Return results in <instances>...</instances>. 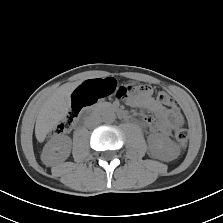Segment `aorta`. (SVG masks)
<instances>
[{
  "instance_id": "aorta-1",
  "label": "aorta",
  "mask_w": 223,
  "mask_h": 223,
  "mask_svg": "<svg viewBox=\"0 0 223 223\" xmlns=\"http://www.w3.org/2000/svg\"><path fill=\"white\" fill-rule=\"evenodd\" d=\"M101 118L105 123H113L116 119V115L113 111H103Z\"/></svg>"
}]
</instances>
